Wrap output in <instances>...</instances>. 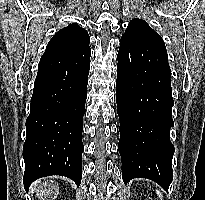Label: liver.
<instances>
[{"instance_id":"1","label":"liver","mask_w":205,"mask_h":200,"mask_svg":"<svg viewBox=\"0 0 205 200\" xmlns=\"http://www.w3.org/2000/svg\"><path fill=\"white\" fill-rule=\"evenodd\" d=\"M33 189L36 193V197L40 200H54L59 194L58 185L50 183V181L46 179H41L33 183Z\"/></svg>"}]
</instances>
